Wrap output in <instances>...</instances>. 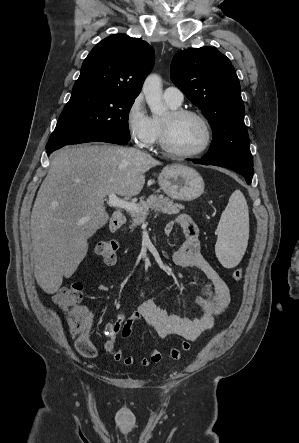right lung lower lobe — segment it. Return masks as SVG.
Returning a JSON list of instances; mask_svg holds the SVG:
<instances>
[{"instance_id": "98d812e1", "label": "right lung lower lobe", "mask_w": 299, "mask_h": 443, "mask_svg": "<svg viewBox=\"0 0 299 443\" xmlns=\"http://www.w3.org/2000/svg\"><path fill=\"white\" fill-rule=\"evenodd\" d=\"M93 141H99V142H108V143H115V144H127L129 140L123 139L121 137H118L116 135L112 134H97V135H91V136H84L80 138H76L74 140L68 141V142H57V143H47L46 149L47 154H51L53 151L65 146V145H72V144H78V143H86V142H93Z\"/></svg>"}]
</instances>
